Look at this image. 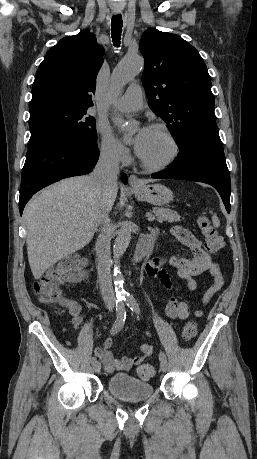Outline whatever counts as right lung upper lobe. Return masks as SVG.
Here are the masks:
<instances>
[{
  "instance_id": "right-lung-upper-lobe-1",
  "label": "right lung upper lobe",
  "mask_w": 257,
  "mask_h": 459,
  "mask_svg": "<svg viewBox=\"0 0 257 459\" xmlns=\"http://www.w3.org/2000/svg\"><path fill=\"white\" fill-rule=\"evenodd\" d=\"M103 55V47L88 30L61 39L37 70L30 112L49 106H92Z\"/></svg>"
}]
</instances>
